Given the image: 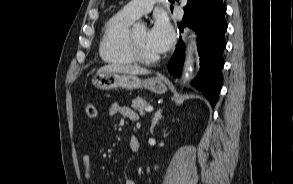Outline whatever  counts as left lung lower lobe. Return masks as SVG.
<instances>
[{
	"mask_svg": "<svg viewBox=\"0 0 293 184\" xmlns=\"http://www.w3.org/2000/svg\"><path fill=\"white\" fill-rule=\"evenodd\" d=\"M225 13L226 7L222 0H188L183 20L178 24L181 32L184 25H190L197 33L201 69L193 84L213 107L223 83L222 53L226 46L224 33L227 30ZM183 60L184 47L182 43H178L168 64V70L173 76H180Z\"/></svg>",
	"mask_w": 293,
	"mask_h": 184,
	"instance_id": "obj_1",
	"label": "left lung lower lobe"
}]
</instances>
